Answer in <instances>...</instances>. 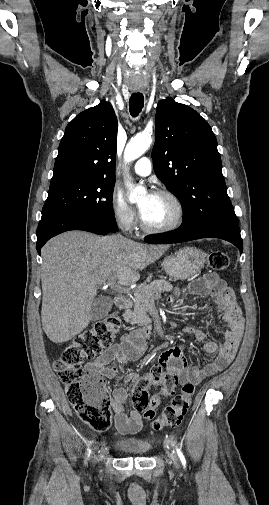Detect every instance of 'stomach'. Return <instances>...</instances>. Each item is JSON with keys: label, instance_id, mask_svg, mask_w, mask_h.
Segmentation results:
<instances>
[{"label": "stomach", "instance_id": "0dacf381", "mask_svg": "<svg viewBox=\"0 0 269 505\" xmlns=\"http://www.w3.org/2000/svg\"><path fill=\"white\" fill-rule=\"evenodd\" d=\"M206 254L196 247H185L174 255L166 257L163 269L174 279H186L195 276L204 267Z\"/></svg>", "mask_w": 269, "mask_h": 505}]
</instances>
